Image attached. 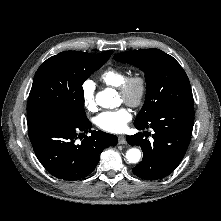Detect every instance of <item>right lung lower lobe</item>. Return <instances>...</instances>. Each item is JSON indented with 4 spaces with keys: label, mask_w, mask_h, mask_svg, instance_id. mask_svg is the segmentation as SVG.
<instances>
[{
    "label": "right lung lower lobe",
    "mask_w": 221,
    "mask_h": 221,
    "mask_svg": "<svg viewBox=\"0 0 221 221\" xmlns=\"http://www.w3.org/2000/svg\"><path fill=\"white\" fill-rule=\"evenodd\" d=\"M28 135L34 152L54 177L67 181L87 177L97 166L100 154L118 142L115 135L90 131L91 122L63 113L39 110L28 116ZM78 139H82L79 141Z\"/></svg>",
    "instance_id": "1"
}]
</instances>
